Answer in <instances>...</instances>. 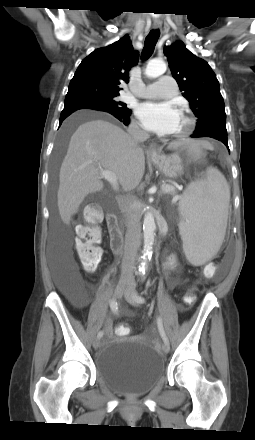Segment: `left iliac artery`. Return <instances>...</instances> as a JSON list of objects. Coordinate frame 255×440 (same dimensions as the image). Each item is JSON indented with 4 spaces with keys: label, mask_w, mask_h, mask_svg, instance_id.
I'll list each match as a JSON object with an SVG mask.
<instances>
[{
    "label": "left iliac artery",
    "mask_w": 255,
    "mask_h": 440,
    "mask_svg": "<svg viewBox=\"0 0 255 440\" xmlns=\"http://www.w3.org/2000/svg\"><path fill=\"white\" fill-rule=\"evenodd\" d=\"M136 300L141 304L145 302V299L139 295H137ZM157 326H158L159 333H160L164 343L169 344V340H168L166 333L164 331V328H163V323H162L161 317L157 318Z\"/></svg>",
    "instance_id": "obj_1"
}]
</instances>
